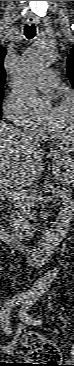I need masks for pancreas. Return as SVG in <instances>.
Instances as JSON below:
<instances>
[{"mask_svg": "<svg viewBox=\"0 0 74 366\" xmlns=\"http://www.w3.org/2000/svg\"><path fill=\"white\" fill-rule=\"evenodd\" d=\"M43 191H50L53 194V197L56 199H60L63 204H70L73 201L72 190L66 187L56 186L50 182H44L42 184ZM39 189L31 190L28 195H26V199L20 200H12L16 208L19 209V213L14 218L12 224V231L14 235L18 238H23L26 236H31L36 230L37 225L32 223L33 213H31V208L34 207L33 200L37 198V191Z\"/></svg>", "mask_w": 74, "mask_h": 366, "instance_id": "cf45deb5", "label": "pancreas"}]
</instances>
